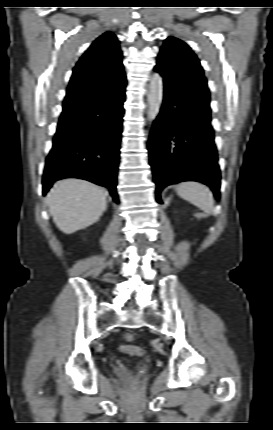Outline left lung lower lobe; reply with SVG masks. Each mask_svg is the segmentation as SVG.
Instances as JSON below:
<instances>
[{"label":"left lung lower lobe","instance_id":"left-lung-lower-lobe-1","mask_svg":"<svg viewBox=\"0 0 273 430\" xmlns=\"http://www.w3.org/2000/svg\"><path fill=\"white\" fill-rule=\"evenodd\" d=\"M148 150L157 202L162 203L164 187L188 180L210 186L219 198L221 176L211 117L177 97L168 81H164L163 104L153 123Z\"/></svg>","mask_w":273,"mask_h":430}]
</instances>
